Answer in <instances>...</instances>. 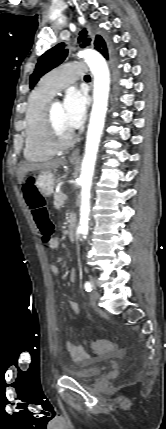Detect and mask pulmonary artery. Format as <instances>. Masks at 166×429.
<instances>
[{
	"label": "pulmonary artery",
	"mask_w": 166,
	"mask_h": 429,
	"mask_svg": "<svg viewBox=\"0 0 166 429\" xmlns=\"http://www.w3.org/2000/svg\"><path fill=\"white\" fill-rule=\"evenodd\" d=\"M87 65L84 62L72 61L53 70L40 82V87L55 95L69 83L84 77Z\"/></svg>",
	"instance_id": "e3ab8cb5"
}]
</instances>
